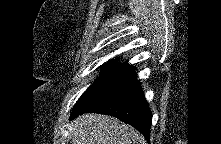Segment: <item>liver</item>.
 Returning a JSON list of instances; mask_svg holds the SVG:
<instances>
[{"label":"liver","instance_id":"1","mask_svg":"<svg viewBox=\"0 0 221 144\" xmlns=\"http://www.w3.org/2000/svg\"><path fill=\"white\" fill-rule=\"evenodd\" d=\"M73 144H146L144 137L133 127L114 117L87 113L72 122Z\"/></svg>","mask_w":221,"mask_h":144}]
</instances>
